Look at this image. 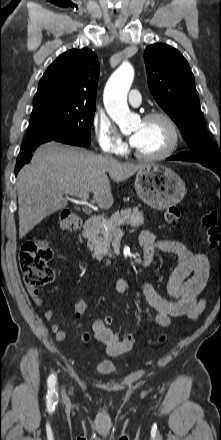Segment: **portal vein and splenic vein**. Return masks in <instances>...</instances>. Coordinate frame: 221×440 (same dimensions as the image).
Wrapping results in <instances>:
<instances>
[{
    "instance_id": "1",
    "label": "portal vein and splenic vein",
    "mask_w": 221,
    "mask_h": 440,
    "mask_svg": "<svg viewBox=\"0 0 221 440\" xmlns=\"http://www.w3.org/2000/svg\"><path fill=\"white\" fill-rule=\"evenodd\" d=\"M65 193L79 198L83 203H86L88 201V199H89V193L88 192L76 193V192H72V191H66ZM116 232H121L120 228L117 229Z\"/></svg>"
}]
</instances>
